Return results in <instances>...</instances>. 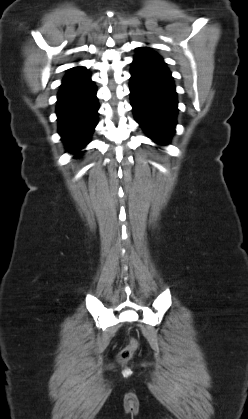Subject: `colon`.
I'll use <instances>...</instances> for the list:
<instances>
[{"label": "colon", "instance_id": "colon-1", "mask_svg": "<svg viewBox=\"0 0 248 419\" xmlns=\"http://www.w3.org/2000/svg\"><path fill=\"white\" fill-rule=\"evenodd\" d=\"M138 349V342L135 339H130L128 344L119 351L118 360L122 363L129 361Z\"/></svg>", "mask_w": 248, "mask_h": 419}]
</instances>
